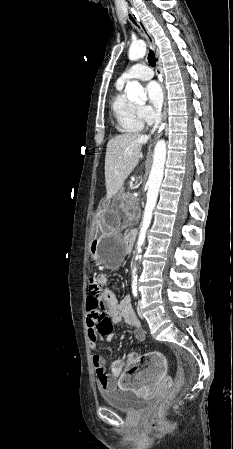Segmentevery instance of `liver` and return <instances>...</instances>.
<instances>
[{
    "mask_svg": "<svg viewBox=\"0 0 233 449\" xmlns=\"http://www.w3.org/2000/svg\"><path fill=\"white\" fill-rule=\"evenodd\" d=\"M149 137L125 133L109 140L105 155L106 199L115 196L139 162L142 145Z\"/></svg>",
    "mask_w": 233,
    "mask_h": 449,
    "instance_id": "liver-1",
    "label": "liver"
}]
</instances>
